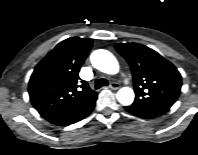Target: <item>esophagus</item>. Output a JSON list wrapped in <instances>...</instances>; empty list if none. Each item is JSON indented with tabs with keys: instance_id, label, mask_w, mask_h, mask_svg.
<instances>
[{
	"instance_id": "34e87169",
	"label": "esophagus",
	"mask_w": 198,
	"mask_h": 155,
	"mask_svg": "<svg viewBox=\"0 0 198 155\" xmlns=\"http://www.w3.org/2000/svg\"><path fill=\"white\" fill-rule=\"evenodd\" d=\"M109 87L113 90H117L119 88V84L116 82H112Z\"/></svg>"
}]
</instances>
